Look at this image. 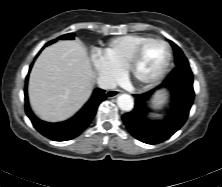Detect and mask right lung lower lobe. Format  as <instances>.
<instances>
[{"instance_id": "1", "label": "right lung lower lobe", "mask_w": 222, "mask_h": 187, "mask_svg": "<svg viewBox=\"0 0 222 187\" xmlns=\"http://www.w3.org/2000/svg\"><path fill=\"white\" fill-rule=\"evenodd\" d=\"M105 99V91L97 88L94 90L90 100L74 117L60 123H48L37 118L31 111L28 103L27 88H25V111L35 129L42 135L54 141H67L83 132L95 116L99 104Z\"/></svg>"}]
</instances>
